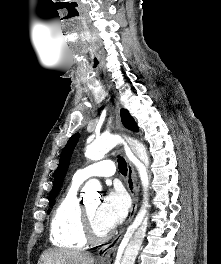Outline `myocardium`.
Segmentation results:
<instances>
[{
	"label": "myocardium",
	"mask_w": 221,
	"mask_h": 264,
	"mask_svg": "<svg viewBox=\"0 0 221 264\" xmlns=\"http://www.w3.org/2000/svg\"><path fill=\"white\" fill-rule=\"evenodd\" d=\"M80 213H81L82 229H83V233L87 241L95 242V243L103 242V241H106L110 237L111 230H108L104 234L96 233L85 205H81Z\"/></svg>",
	"instance_id": "1"
}]
</instances>
